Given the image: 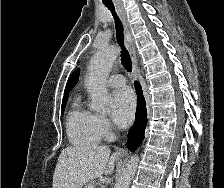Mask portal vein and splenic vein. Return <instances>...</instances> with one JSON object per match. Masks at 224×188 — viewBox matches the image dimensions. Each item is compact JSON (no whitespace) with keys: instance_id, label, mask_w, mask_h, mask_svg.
<instances>
[{"instance_id":"18ae733b","label":"portal vein and splenic vein","mask_w":224,"mask_h":188,"mask_svg":"<svg viewBox=\"0 0 224 188\" xmlns=\"http://www.w3.org/2000/svg\"><path fill=\"white\" fill-rule=\"evenodd\" d=\"M89 188H94V186H90Z\"/></svg>"}]
</instances>
